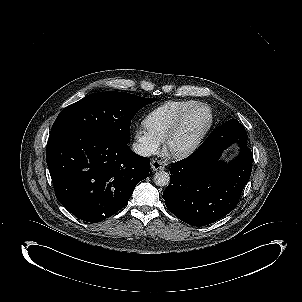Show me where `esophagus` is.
Instances as JSON below:
<instances>
[{
	"label": "esophagus",
	"instance_id": "esophagus-1",
	"mask_svg": "<svg viewBox=\"0 0 302 302\" xmlns=\"http://www.w3.org/2000/svg\"><path fill=\"white\" fill-rule=\"evenodd\" d=\"M150 164H151L152 171H158L164 169V163L160 160L157 159L152 160Z\"/></svg>",
	"mask_w": 302,
	"mask_h": 302
}]
</instances>
